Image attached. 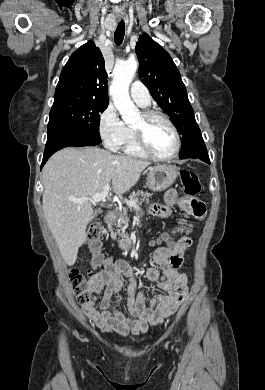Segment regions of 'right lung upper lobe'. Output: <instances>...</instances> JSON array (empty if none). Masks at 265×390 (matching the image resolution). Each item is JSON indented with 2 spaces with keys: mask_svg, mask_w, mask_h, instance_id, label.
Here are the masks:
<instances>
[{
  "mask_svg": "<svg viewBox=\"0 0 265 390\" xmlns=\"http://www.w3.org/2000/svg\"><path fill=\"white\" fill-rule=\"evenodd\" d=\"M73 98L109 103L104 58L92 41L77 49L61 72L54 101Z\"/></svg>",
  "mask_w": 265,
  "mask_h": 390,
  "instance_id": "obj_1",
  "label": "right lung upper lobe"
}]
</instances>
